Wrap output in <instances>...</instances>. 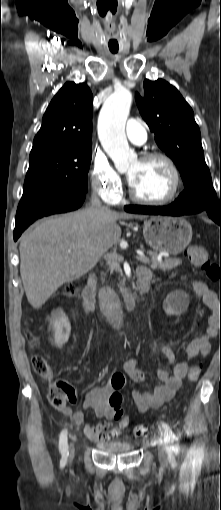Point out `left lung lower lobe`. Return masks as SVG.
Wrapping results in <instances>:
<instances>
[{
    "label": "left lung lower lobe",
    "mask_w": 221,
    "mask_h": 510,
    "mask_svg": "<svg viewBox=\"0 0 221 510\" xmlns=\"http://www.w3.org/2000/svg\"><path fill=\"white\" fill-rule=\"evenodd\" d=\"M124 209L127 212L131 213H141V214H152V215H171V216H181V215H189L200 213L204 211V209H187V208H177L173 204L168 206H125ZM209 217L215 221L221 227V211H217L215 209L206 210Z\"/></svg>",
    "instance_id": "0a47b994"
}]
</instances>
